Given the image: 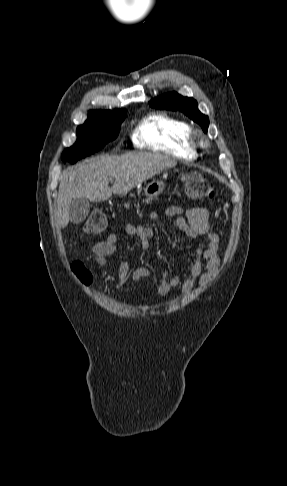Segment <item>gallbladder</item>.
I'll use <instances>...</instances> for the list:
<instances>
[{"mask_svg": "<svg viewBox=\"0 0 287 486\" xmlns=\"http://www.w3.org/2000/svg\"><path fill=\"white\" fill-rule=\"evenodd\" d=\"M91 207L90 201L86 198L73 199L70 205V221L73 224L82 223L87 218Z\"/></svg>", "mask_w": 287, "mask_h": 486, "instance_id": "gallbladder-1", "label": "gallbladder"}]
</instances>
